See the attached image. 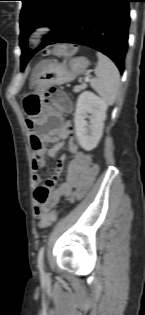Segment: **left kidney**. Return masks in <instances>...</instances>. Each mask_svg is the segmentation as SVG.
I'll list each match as a JSON object with an SVG mask.
<instances>
[{
  "label": "left kidney",
  "instance_id": "1",
  "mask_svg": "<svg viewBox=\"0 0 145 315\" xmlns=\"http://www.w3.org/2000/svg\"><path fill=\"white\" fill-rule=\"evenodd\" d=\"M107 108V103L90 91H84L78 97L74 114L75 132L78 143L86 151L96 148L101 139Z\"/></svg>",
  "mask_w": 145,
  "mask_h": 315
}]
</instances>
